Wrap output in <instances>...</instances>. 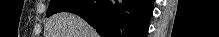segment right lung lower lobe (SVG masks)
<instances>
[{"mask_svg": "<svg viewBox=\"0 0 219 37\" xmlns=\"http://www.w3.org/2000/svg\"><path fill=\"white\" fill-rule=\"evenodd\" d=\"M153 0H80L63 11L79 15L102 37H146Z\"/></svg>", "mask_w": 219, "mask_h": 37, "instance_id": "1", "label": "right lung lower lobe"}]
</instances>
